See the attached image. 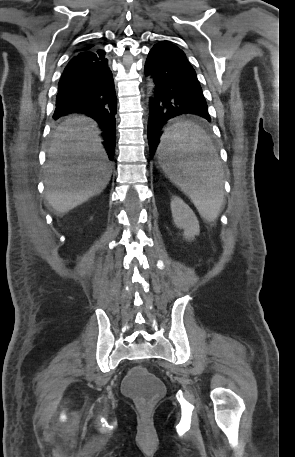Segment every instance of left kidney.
<instances>
[{
	"mask_svg": "<svg viewBox=\"0 0 295 457\" xmlns=\"http://www.w3.org/2000/svg\"><path fill=\"white\" fill-rule=\"evenodd\" d=\"M171 212L175 225L184 230V238L193 240L200 233L199 222L190 207L180 198L171 201Z\"/></svg>",
	"mask_w": 295,
	"mask_h": 457,
	"instance_id": "obj_1",
	"label": "left kidney"
}]
</instances>
